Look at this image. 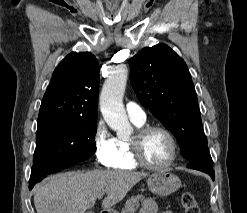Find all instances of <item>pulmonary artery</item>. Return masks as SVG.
<instances>
[{"label": "pulmonary artery", "mask_w": 247, "mask_h": 213, "mask_svg": "<svg viewBox=\"0 0 247 213\" xmlns=\"http://www.w3.org/2000/svg\"><path fill=\"white\" fill-rule=\"evenodd\" d=\"M126 112L129 119L133 122L144 123L146 120L144 110L134 102H128L126 104Z\"/></svg>", "instance_id": "pulmonary-artery-1"}]
</instances>
